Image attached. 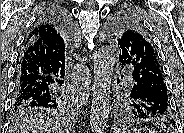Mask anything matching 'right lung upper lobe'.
Listing matches in <instances>:
<instances>
[{"instance_id": "obj_1", "label": "right lung upper lobe", "mask_w": 184, "mask_h": 133, "mask_svg": "<svg viewBox=\"0 0 184 133\" xmlns=\"http://www.w3.org/2000/svg\"><path fill=\"white\" fill-rule=\"evenodd\" d=\"M70 40L60 27L49 18L37 21L29 33L24 47L32 45L35 50L48 55H62L66 52Z\"/></svg>"}]
</instances>
